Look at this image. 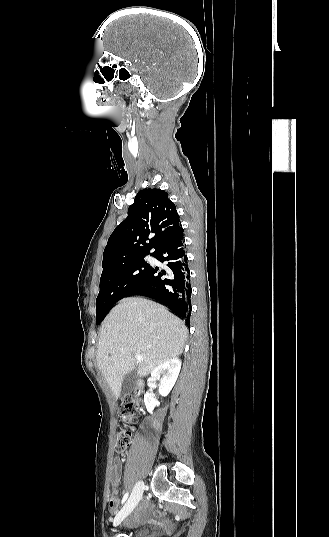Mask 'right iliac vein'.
<instances>
[{"label": "right iliac vein", "instance_id": "63e3f726", "mask_svg": "<svg viewBox=\"0 0 329 537\" xmlns=\"http://www.w3.org/2000/svg\"><path fill=\"white\" fill-rule=\"evenodd\" d=\"M144 490L143 481H138L123 508L116 515L113 525L116 527L134 510L138 502L141 500Z\"/></svg>", "mask_w": 329, "mask_h": 537}]
</instances>
